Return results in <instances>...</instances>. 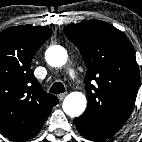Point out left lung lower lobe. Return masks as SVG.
<instances>
[{"label":"left lung lower lobe","instance_id":"obj_1","mask_svg":"<svg viewBox=\"0 0 142 142\" xmlns=\"http://www.w3.org/2000/svg\"><path fill=\"white\" fill-rule=\"evenodd\" d=\"M74 123L79 133L88 140L101 142L110 137L105 133L95 129L89 122H87L83 118H75Z\"/></svg>","mask_w":142,"mask_h":142}]
</instances>
